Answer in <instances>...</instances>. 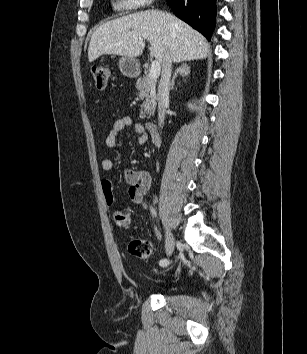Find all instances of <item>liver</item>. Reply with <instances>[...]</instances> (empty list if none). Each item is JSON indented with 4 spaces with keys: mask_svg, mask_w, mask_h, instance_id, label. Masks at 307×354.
I'll use <instances>...</instances> for the list:
<instances>
[{
    "mask_svg": "<svg viewBox=\"0 0 307 354\" xmlns=\"http://www.w3.org/2000/svg\"><path fill=\"white\" fill-rule=\"evenodd\" d=\"M145 40L151 44L150 56L161 65L167 53L178 63L204 59L210 48L205 37L174 15L148 10L98 27L89 43V62L102 55L138 57L143 53Z\"/></svg>",
    "mask_w": 307,
    "mask_h": 354,
    "instance_id": "obj_1",
    "label": "liver"
}]
</instances>
